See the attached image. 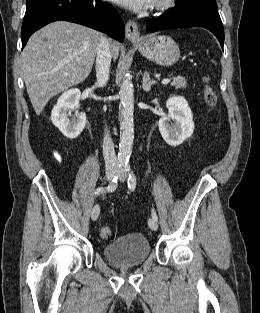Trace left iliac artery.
Returning <instances> with one entry per match:
<instances>
[{
    "label": "left iliac artery",
    "instance_id": "left-iliac-artery-1",
    "mask_svg": "<svg viewBox=\"0 0 260 313\" xmlns=\"http://www.w3.org/2000/svg\"><path fill=\"white\" fill-rule=\"evenodd\" d=\"M124 169L126 172H128L129 176H128V187L131 191L135 190L136 187V176L133 173V171L131 170V167L129 164H125ZM152 218L156 221H158V217L156 214V211L154 209H152Z\"/></svg>",
    "mask_w": 260,
    "mask_h": 313
}]
</instances>
